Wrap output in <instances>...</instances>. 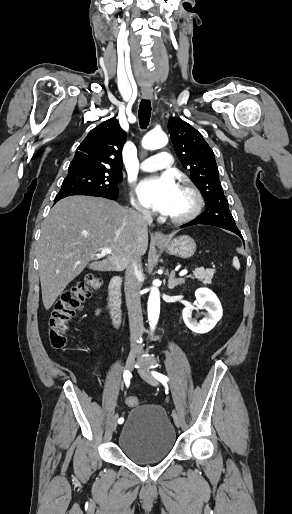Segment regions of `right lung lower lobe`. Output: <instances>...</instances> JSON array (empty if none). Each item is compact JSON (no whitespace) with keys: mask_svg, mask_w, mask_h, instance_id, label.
I'll return each instance as SVG.
<instances>
[{"mask_svg":"<svg viewBox=\"0 0 292 514\" xmlns=\"http://www.w3.org/2000/svg\"><path fill=\"white\" fill-rule=\"evenodd\" d=\"M118 194L109 195V194H102V193H86V192L65 193L62 195H56V197L54 199V203H56L57 201H59L62 198H65L68 196H73V195H89V196L104 197L107 199L115 200V199H117Z\"/></svg>","mask_w":292,"mask_h":514,"instance_id":"right-lung-lower-lobe-1","label":"right lung lower lobe"}]
</instances>
